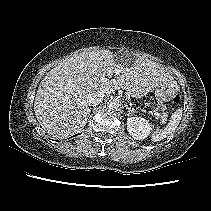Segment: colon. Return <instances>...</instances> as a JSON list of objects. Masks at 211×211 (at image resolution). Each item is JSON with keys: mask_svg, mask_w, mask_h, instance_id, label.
Wrapping results in <instances>:
<instances>
[{"mask_svg": "<svg viewBox=\"0 0 211 211\" xmlns=\"http://www.w3.org/2000/svg\"><path fill=\"white\" fill-rule=\"evenodd\" d=\"M179 101V95L177 94V95H175L171 100H170V102H172V103H175V102H178Z\"/></svg>", "mask_w": 211, "mask_h": 211, "instance_id": "obj_1", "label": "colon"}]
</instances>
